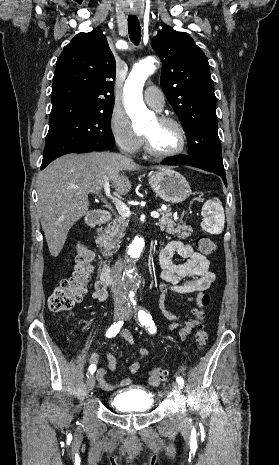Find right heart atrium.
<instances>
[{
	"mask_svg": "<svg viewBox=\"0 0 279 465\" xmlns=\"http://www.w3.org/2000/svg\"><path fill=\"white\" fill-rule=\"evenodd\" d=\"M110 132L116 145L126 153H136L141 145L142 138L137 134L128 116L121 110L115 109L110 117Z\"/></svg>",
	"mask_w": 279,
	"mask_h": 465,
	"instance_id": "obj_1",
	"label": "right heart atrium"
}]
</instances>
